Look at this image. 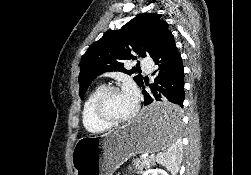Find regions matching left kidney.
I'll use <instances>...</instances> for the list:
<instances>
[{
  "instance_id": "1",
  "label": "left kidney",
  "mask_w": 251,
  "mask_h": 175,
  "mask_svg": "<svg viewBox=\"0 0 251 175\" xmlns=\"http://www.w3.org/2000/svg\"><path fill=\"white\" fill-rule=\"evenodd\" d=\"M142 175H169L165 169H146V171H143Z\"/></svg>"
}]
</instances>
